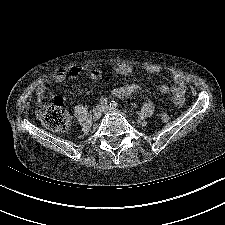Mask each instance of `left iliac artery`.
<instances>
[{
    "label": "left iliac artery",
    "instance_id": "obj_1",
    "mask_svg": "<svg viewBox=\"0 0 225 225\" xmlns=\"http://www.w3.org/2000/svg\"><path fill=\"white\" fill-rule=\"evenodd\" d=\"M119 106L118 102L117 101H111L110 102V107L111 108H117Z\"/></svg>",
    "mask_w": 225,
    "mask_h": 225
}]
</instances>
